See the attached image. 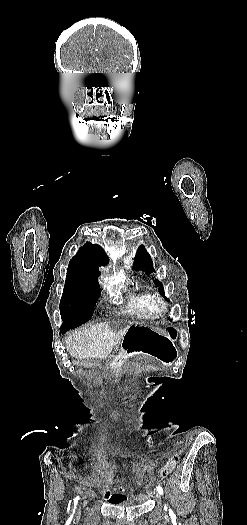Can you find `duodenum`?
Listing matches in <instances>:
<instances>
[{
	"label": "duodenum",
	"mask_w": 247,
	"mask_h": 525,
	"mask_svg": "<svg viewBox=\"0 0 247 525\" xmlns=\"http://www.w3.org/2000/svg\"><path fill=\"white\" fill-rule=\"evenodd\" d=\"M109 369L113 372H119L120 370L126 369V365L113 364L109 366Z\"/></svg>",
	"instance_id": "1"
}]
</instances>
